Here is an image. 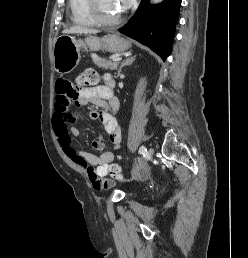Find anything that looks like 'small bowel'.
Masks as SVG:
<instances>
[{
	"label": "small bowel",
	"instance_id": "small-bowel-1",
	"mask_svg": "<svg viewBox=\"0 0 248 258\" xmlns=\"http://www.w3.org/2000/svg\"><path fill=\"white\" fill-rule=\"evenodd\" d=\"M70 82L65 79L56 83L55 111L52 118V126L64 153L78 166L82 167L89 178L94 190H109L114 185L111 177H105L113 165H117L122 159L121 155H115L112 151L103 152L96 156L88 151L77 148L72 143V136H77L79 131L74 124L78 120V114L70 110L76 102L78 108L85 107L88 103L104 107L111 112H117L120 104L113 96L112 89L108 85L94 86L81 90L77 97L72 95ZM90 118L99 119L102 122L113 149L118 150L122 142V131L116 118L107 111H92ZM96 151L104 149V142L96 139L92 143Z\"/></svg>",
	"mask_w": 248,
	"mask_h": 258
}]
</instances>
